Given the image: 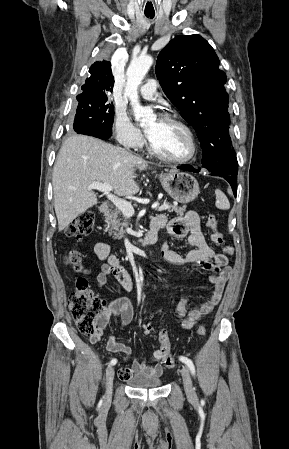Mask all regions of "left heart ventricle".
<instances>
[{"instance_id": "1", "label": "left heart ventricle", "mask_w": 289, "mask_h": 449, "mask_svg": "<svg viewBox=\"0 0 289 449\" xmlns=\"http://www.w3.org/2000/svg\"><path fill=\"white\" fill-rule=\"evenodd\" d=\"M146 132L155 149L163 155L183 158L190 153L188 136L173 123L153 118L146 125Z\"/></svg>"}]
</instances>
